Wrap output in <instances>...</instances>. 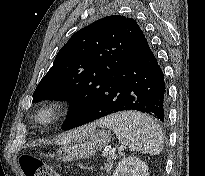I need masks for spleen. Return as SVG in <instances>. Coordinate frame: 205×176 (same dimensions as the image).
I'll return each mask as SVG.
<instances>
[{"mask_svg":"<svg viewBox=\"0 0 205 176\" xmlns=\"http://www.w3.org/2000/svg\"><path fill=\"white\" fill-rule=\"evenodd\" d=\"M97 125L111 129L123 145L131 151L157 155L163 149V134L152 117L135 111L111 114L97 121Z\"/></svg>","mask_w":205,"mask_h":176,"instance_id":"3e777b00","label":"spleen"}]
</instances>
